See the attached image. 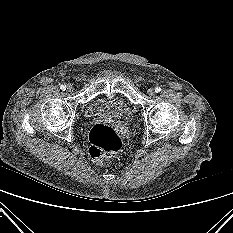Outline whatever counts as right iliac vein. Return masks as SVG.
<instances>
[{
	"instance_id": "63e3f726",
	"label": "right iliac vein",
	"mask_w": 233,
	"mask_h": 233,
	"mask_svg": "<svg viewBox=\"0 0 233 233\" xmlns=\"http://www.w3.org/2000/svg\"><path fill=\"white\" fill-rule=\"evenodd\" d=\"M73 86L71 85V84H69L68 86H67V91H69V92H72L73 91Z\"/></svg>"
}]
</instances>
